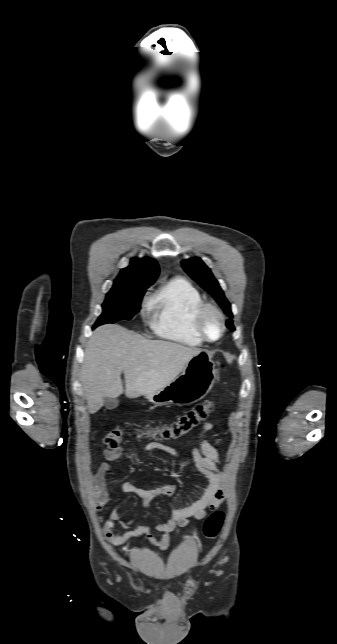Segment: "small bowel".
<instances>
[{"instance_id":"c3829d8e","label":"small bowel","mask_w":337,"mask_h":644,"mask_svg":"<svg viewBox=\"0 0 337 644\" xmlns=\"http://www.w3.org/2000/svg\"><path fill=\"white\" fill-rule=\"evenodd\" d=\"M212 428V423L208 422L204 424L200 433V443L192 448V456L197 470L209 481L202 496L196 502L184 508L167 507V521L154 526H137L133 528L137 518L125 519L118 510H113L103 526V534L112 544L120 545L130 540L146 538L156 544L159 549L164 550L169 546V533L171 531L178 527L188 525L192 518L201 520L205 518L209 511L218 508L225 497L223 490L224 473L220 469L221 461L217 450L205 437L206 432ZM156 450L163 451L175 459L179 458L175 449L163 443L148 442L144 446V451L148 454ZM124 451V448L121 446L104 451L105 460L101 463L95 474V480L101 487L104 488L106 485L107 478L112 469V462L119 459L124 454ZM122 490L140 497L145 507L148 508L152 500L162 496L174 495L177 490V485L175 483H165L151 489H144L135 486L131 482H124L122 484ZM110 501L112 499L103 491L100 502L106 504ZM117 525L128 531L120 534L117 531Z\"/></svg>"}]
</instances>
